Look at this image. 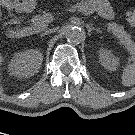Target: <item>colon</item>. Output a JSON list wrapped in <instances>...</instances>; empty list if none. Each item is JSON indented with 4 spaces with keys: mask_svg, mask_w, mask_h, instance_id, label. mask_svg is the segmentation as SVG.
Segmentation results:
<instances>
[{
    "mask_svg": "<svg viewBox=\"0 0 135 135\" xmlns=\"http://www.w3.org/2000/svg\"><path fill=\"white\" fill-rule=\"evenodd\" d=\"M127 20L129 24L135 27V5H130L127 13H126Z\"/></svg>",
    "mask_w": 135,
    "mask_h": 135,
    "instance_id": "1",
    "label": "colon"
}]
</instances>
